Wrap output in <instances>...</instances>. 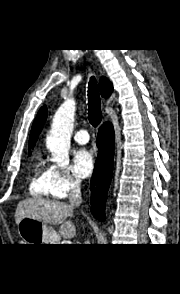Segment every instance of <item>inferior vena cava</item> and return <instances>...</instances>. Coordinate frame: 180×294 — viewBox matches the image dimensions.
<instances>
[{"instance_id":"602c4592","label":"inferior vena cava","mask_w":180,"mask_h":294,"mask_svg":"<svg viewBox=\"0 0 180 294\" xmlns=\"http://www.w3.org/2000/svg\"><path fill=\"white\" fill-rule=\"evenodd\" d=\"M80 180L76 179L71 183V190L69 193V202L70 206L78 207L82 203V196H81V187H80ZM90 242L87 240L85 244H89Z\"/></svg>"}]
</instances>
